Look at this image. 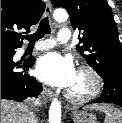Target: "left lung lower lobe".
Returning a JSON list of instances; mask_svg holds the SVG:
<instances>
[{
	"instance_id": "1",
	"label": "left lung lower lobe",
	"mask_w": 122,
	"mask_h": 123,
	"mask_svg": "<svg viewBox=\"0 0 122 123\" xmlns=\"http://www.w3.org/2000/svg\"><path fill=\"white\" fill-rule=\"evenodd\" d=\"M102 78L105 83L102 94L91 103H113L122 107V73L112 72Z\"/></svg>"
}]
</instances>
